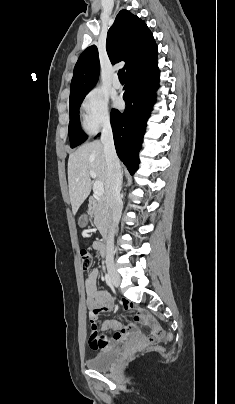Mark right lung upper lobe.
Returning a JSON list of instances; mask_svg holds the SVG:
<instances>
[{
	"mask_svg": "<svg viewBox=\"0 0 235 404\" xmlns=\"http://www.w3.org/2000/svg\"><path fill=\"white\" fill-rule=\"evenodd\" d=\"M106 50L112 63L125 61L126 74L157 58L158 49L147 25L136 15L121 10L107 34ZM99 57L95 45L85 49L74 68L70 102L84 98L99 76Z\"/></svg>",
	"mask_w": 235,
	"mask_h": 404,
	"instance_id": "obj_1",
	"label": "right lung upper lobe"
}]
</instances>
